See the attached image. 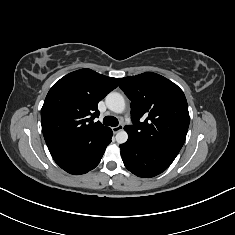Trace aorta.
<instances>
[{
	"label": "aorta",
	"instance_id": "762f6f07",
	"mask_svg": "<svg viewBox=\"0 0 235 235\" xmlns=\"http://www.w3.org/2000/svg\"><path fill=\"white\" fill-rule=\"evenodd\" d=\"M106 105L109 110L115 113H122L125 110V100L124 97L117 92H110L106 96ZM128 140V134L126 131L121 130L116 134V141L119 144H123Z\"/></svg>",
	"mask_w": 235,
	"mask_h": 235
}]
</instances>
